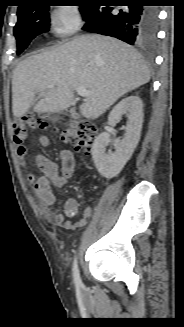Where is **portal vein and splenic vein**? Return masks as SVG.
Masks as SVG:
<instances>
[{"label":"portal vein and splenic vein","instance_id":"portal-vein-and-splenic-vein-1","mask_svg":"<svg viewBox=\"0 0 184 327\" xmlns=\"http://www.w3.org/2000/svg\"><path fill=\"white\" fill-rule=\"evenodd\" d=\"M47 89H53V86L49 85V86H47ZM77 94L79 96L85 97V96L89 95L90 92L87 89H85L83 87H80V88L77 89Z\"/></svg>","mask_w":184,"mask_h":327}]
</instances>
